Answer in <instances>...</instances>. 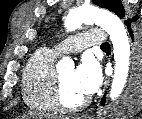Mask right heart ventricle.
I'll return each instance as SVG.
<instances>
[{"instance_id": "1", "label": "right heart ventricle", "mask_w": 142, "mask_h": 119, "mask_svg": "<svg viewBox=\"0 0 142 119\" xmlns=\"http://www.w3.org/2000/svg\"><path fill=\"white\" fill-rule=\"evenodd\" d=\"M56 53L38 49L28 60L22 74V96L25 103L37 111H55L53 82Z\"/></svg>"}]
</instances>
